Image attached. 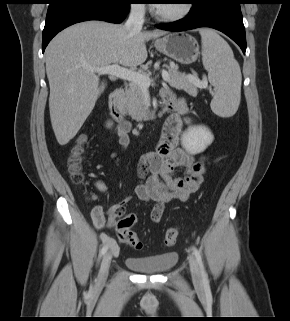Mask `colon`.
Masks as SVG:
<instances>
[{"instance_id":"obj_1","label":"colon","mask_w":290,"mask_h":321,"mask_svg":"<svg viewBox=\"0 0 290 321\" xmlns=\"http://www.w3.org/2000/svg\"><path fill=\"white\" fill-rule=\"evenodd\" d=\"M88 138L86 135H80L75 144L72 146L67 158L68 170L71 179L75 184H82L84 182L83 163L86 154ZM136 215L131 213L123 217L117 225L118 238L121 242L127 244L134 249H141L143 247L136 232L132 226L136 222ZM178 237V230L174 227L167 229L164 235V244L166 246H173Z\"/></svg>"}]
</instances>
